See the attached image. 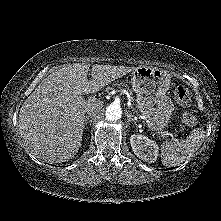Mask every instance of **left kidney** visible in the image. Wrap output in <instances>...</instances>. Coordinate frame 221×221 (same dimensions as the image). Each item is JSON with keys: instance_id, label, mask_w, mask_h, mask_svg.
<instances>
[{"instance_id": "5707ae66", "label": "left kidney", "mask_w": 221, "mask_h": 221, "mask_svg": "<svg viewBox=\"0 0 221 221\" xmlns=\"http://www.w3.org/2000/svg\"><path fill=\"white\" fill-rule=\"evenodd\" d=\"M130 144L134 154L140 159L154 163L158 157V145L155 141L142 135H131Z\"/></svg>"}]
</instances>
